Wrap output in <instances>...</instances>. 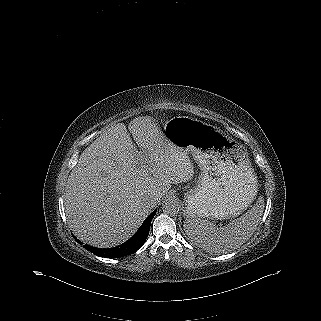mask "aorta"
I'll return each instance as SVG.
<instances>
[{
    "mask_svg": "<svg viewBox=\"0 0 321 321\" xmlns=\"http://www.w3.org/2000/svg\"><path fill=\"white\" fill-rule=\"evenodd\" d=\"M162 209L164 213L174 216L180 212L181 204L176 198L169 197L164 200Z\"/></svg>",
    "mask_w": 321,
    "mask_h": 321,
    "instance_id": "762f6f07",
    "label": "aorta"
}]
</instances>
